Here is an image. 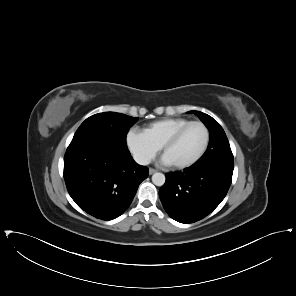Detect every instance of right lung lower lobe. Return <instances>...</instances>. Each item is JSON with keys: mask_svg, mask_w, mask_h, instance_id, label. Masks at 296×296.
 <instances>
[{"mask_svg": "<svg viewBox=\"0 0 296 296\" xmlns=\"http://www.w3.org/2000/svg\"><path fill=\"white\" fill-rule=\"evenodd\" d=\"M148 168L127 147L101 140L71 142L64 157V179L75 203L88 214L112 220L131 204Z\"/></svg>", "mask_w": 296, "mask_h": 296, "instance_id": "1", "label": "right lung lower lobe"}]
</instances>
